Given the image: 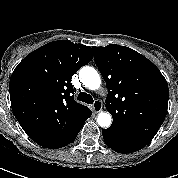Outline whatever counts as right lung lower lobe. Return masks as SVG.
I'll use <instances>...</instances> for the list:
<instances>
[{
	"label": "right lung lower lobe",
	"instance_id": "1",
	"mask_svg": "<svg viewBox=\"0 0 178 178\" xmlns=\"http://www.w3.org/2000/svg\"><path fill=\"white\" fill-rule=\"evenodd\" d=\"M78 133H79V132H78ZM78 133H77V134H78ZM77 134H76L74 137H72L70 140H68L67 142H65V143H63V144H60V145H58V146H56V147H52V149L61 148V147H64V146L70 144V143L76 138Z\"/></svg>",
	"mask_w": 178,
	"mask_h": 178
}]
</instances>
